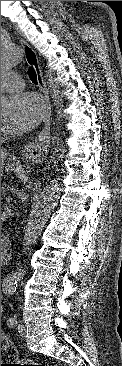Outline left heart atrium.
Segmentation results:
<instances>
[{"instance_id":"left-heart-atrium-1","label":"left heart atrium","mask_w":122,"mask_h":366,"mask_svg":"<svg viewBox=\"0 0 122 366\" xmlns=\"http://www.w3.org/2000/svg\"><path fill=\"white\" fill-rule=\"evenodd\" d=\"M45 105L34 93L22 92L10 99L5 124L13 132L31 130L43 119Z\"/></svg>"}]
</instances>
